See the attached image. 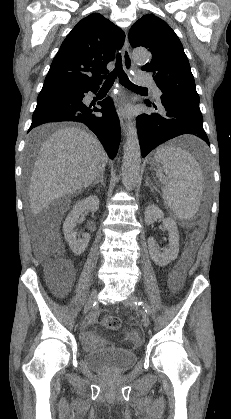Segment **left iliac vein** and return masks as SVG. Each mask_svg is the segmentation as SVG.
Returning <instances> with one entry per match:
<instances>
[{"label":"left iliac vein","mask_w":231,"mask_h":419,"mask_svg":"<svg viewBox=\"0 0 231 419\" xmlns=\"http://www.w3.org/2000/svg\"><path fill=\"white\" fill-rule=\"evenodd\" d=\"M133 300H137V298L135 296H130L129 298L124 300L123 303L127 307H133L134 306L133 303H132ZM142 324H143L144 327H149V325H150V319L146 314H144L142 316Z\"/></svg>","instance_id":"left-iliac-vein-1"}]
</instances>
